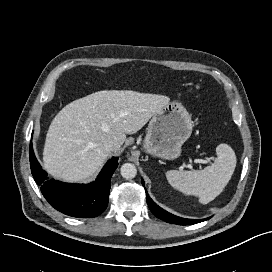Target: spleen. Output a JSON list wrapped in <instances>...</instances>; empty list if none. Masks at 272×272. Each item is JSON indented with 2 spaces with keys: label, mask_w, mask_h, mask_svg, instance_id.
<instances>
[{
  "label": "spleen",
  "mask_w": 272,
  "mask_h": 272,
  "mask_svg": "<svg viewBox=\"0 0 272 272\" xmlns=\"http://www.w3.org/2000/svg\"><path fill=\"white\" fill-rule=\"evenodd\" d=\"M216 154L214 163L203 170L168 171V182L184 194L198 196L202 204L211 202L223 191L236 167V156L229 145H218Z\"/></svg>",
  "instance_id": "1"
}]
</instances>
